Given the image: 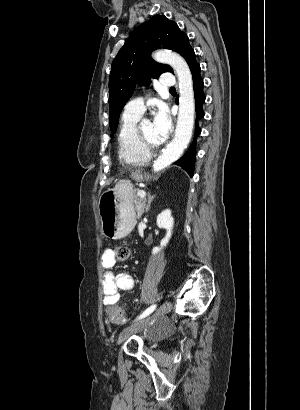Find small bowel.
Masks as SVG:
<instances>
[{
	"mask_svg": "<svg viewBox=\"0 0 300 410\" xmlns=\"http://www.w3.org/2000/svg\"><path fill=\"white\" fill-rule=\"evenodd\" d=\"M116 263L112 249L107 248L101 254V265L104 270L102 279L103 303L105 306L116 303L122 292L134 288V278L129 273H114L113 267Z\"/></svg>",
	"mask_w": 300,
	"mask_h": 410,
	"instance_id": "c3829d8e",
	"label": "small bowel"
}]
</instances>
